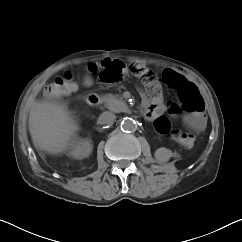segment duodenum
Listing matches in <instances>:
<instances>
[{
    "label": "duodenum",
    "instance_id": "duodenum-1",
    "mask_svg": "<svg viewBox=\"0 0 242 242\" xmlns=\"http://www.w3.org/2000/svg\"><path fill=\"white\" fill-rule=\"evenodd\" d=\"M102 100L98 93L92 92L87 95V103L92 107H97L101 104Z\"/></svg>",
    "mask_w": 242,
    "mask_h": 242
}]
</instances>
